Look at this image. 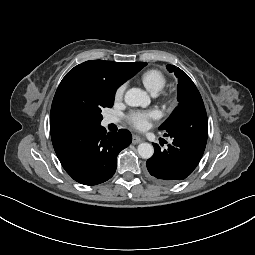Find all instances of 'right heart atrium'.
Returning a JSON list of instances; mask_svg holds the SVG:
<instances>
[{
	"mask_svg": "<svg viewBox=\"0 0 255 255\" xmlns=\"http://www.w3.org/2000/svg\"><path fill=\"white\" fill-rule=\"evenodd\" d=\"M125 89H126V85L125 84H122L120 85L116 91H115V94H114V98L116 101H119L123 98V95L125 93Z\"/></svg>",
	"mask_w": 255,
	"mask_h": 255,
	"instance_id": "right-heart-atrium-1",
	"label": "right heart atrium"
}]
</instances>
